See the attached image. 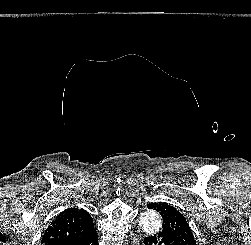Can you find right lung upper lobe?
Returning a JSON list of instances; mask_svg holds the SVG:
<instances>
[{"label": "right lung upper lobe", "instance_id": "1", "mask_svg": "<svg viewBox=\"0 0 251 245\" xmlns=\"http://www.w3.org/2000/svg\"><path fill=\"white\" fill-rule=\"evenodd\" d=\"M95 232L93 221L84 209L68 208L61 212L46 229L41 243L52 245L71 239H81Z\"/></svg>", "mask_w": 251, "mask_h": 245}]
</instances>
